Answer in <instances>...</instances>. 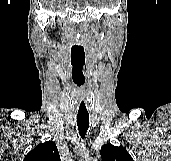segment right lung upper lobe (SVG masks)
<instances>
[{
	"label": "right lung upper lobe",
	"mask_w": 171,
	"mask_h": 161,
	"mask_svg": "<svg viewBox=\"0 0 171 161\" xmlns=\"http://www.w3.org/2000/svg\"><path fill=\"white\" fill-rule=\"evenodd\" d=\"M24 161H61L56 144L52 141L37 145L24 158Z\"/></svg>",
	"instance_id": "right-lung-upper-lobe-1"
}]
</instances>
